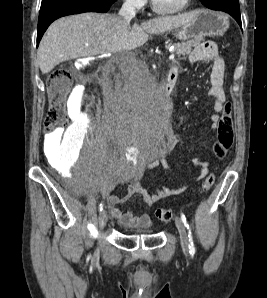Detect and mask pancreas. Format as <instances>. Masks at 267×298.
<instances>
[{"label":"pancreas","instance_id":"cf45deb5","mask_svg":"<svg viewBox=\"0 0 267 298\" xmlns=\"http://www.w3.org/2000/svg\"><path fill=\"white\" fill-rule=\"evenodd\" d=\"M198 43H199L198 40L193 39L187 42L169 44L168 47L173 46L174 47L173 52L178 56H181V55L189 54L192 50V47L197 45ZM136 97H139V95L136 94Z\"/></svg>","mask_w":267,"mask_h":298}]
</instances>
